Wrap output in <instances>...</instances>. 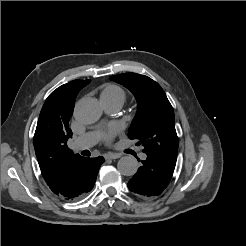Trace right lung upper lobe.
<instances>
[{
  "mask_svg": "<svg viewBox=\"0 0 246 246\" xmlns=\"http://www.w3.org/2000/svg\"><path fill=\"white\" fill-rule=\"evenodd\" d=\"M89 83L90 80H73L58 87L48 96L40 112L34 147L41 174L49 187L81 157L67 146L72 137L69 120L78 92Z\"/></svg>",
  "mask_w": 246,
  "mask_h": 246,
  "instance_id": "obj_1",
  "label": "right lung upper lobe"
}]
</instances>
